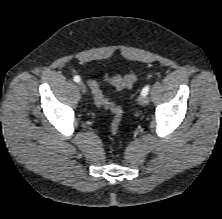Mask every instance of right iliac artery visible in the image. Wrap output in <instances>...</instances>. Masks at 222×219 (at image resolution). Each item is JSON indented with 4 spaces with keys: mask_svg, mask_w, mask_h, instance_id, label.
<instances>
[{
    "mask_svg": "<svg viewBox=\"0 0 222 219\" xmlns=\"http://www.w3.org/2000/svg\"><path fill=\"white\" fill-rule=\"evenodd\" d=\"M74 81H75L76 83L80 82V77H79V76H74Z\"/></svg>",
    "mask_w": 222,
    "mask_h": 219,
    "instance_id": "82829eb1",
    "label": "right iliac artery"
}]
</instances>
